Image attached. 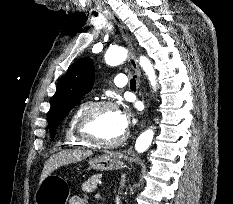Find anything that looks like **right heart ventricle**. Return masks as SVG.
Here are the masks:
<instances>
[{"label":"right heart ventricle","mask_w":233,"mask_h":204,"mask_svg":"<svg viewBox=\"0 0 233 204\" xmlns=\"http://www.w3.org/2000/svg\"><path fill=\"white\" fill-rule=\"evenodd\" d=\"M85 106H86V104L79 105L71 113V115L68 118V121H67V124L65 127L64 138H65L66 144L69 146L76 147V146H88L89 145L86 142H84L83 140H81L77 136L76 131H75V125H76L77 118Z\"/></svg>","instance_id":"e07e8e85"}]
</instances>
